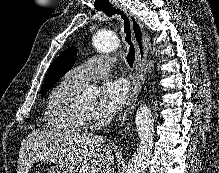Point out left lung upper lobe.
I'll return each mask as SVG.
<instances>
[{"mask_svg": "<svg viewBox=\"0 0 219 173\" xmlns=\"http://www.w3.org/2000/svg\"><path fill=\"white\" fill-rule=\"evenodd\" d=\"M77 48L70 47L64 52L60 53L59 56L50 65L44 84L41 88L40 93H44L55 85L56 82L68 72L74 65V55Z\"/></svg>", "mask_w": 219, "mask_h": 173, "instance_id": "5c2ea615", "label": "left lung upper lobe"}]
</instances>
